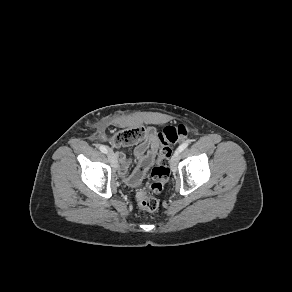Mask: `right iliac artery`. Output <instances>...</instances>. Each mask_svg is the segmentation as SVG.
I'll return each mask as SVG.
<instances>
[{"instance_id":"1","label":"right iliac artery","mask_w":292,"mask_h":292,"mask_svg":"<svg viewBox=\"0 0 292 292\" xmlns=\"http://www.w3.org/2000/svg\"><path fill=\"white\" fill-rule=\"evenodd\" d=\"M99 149H100L101 152H103V153H105V154L108 153V150H107V148H106L104 145H100V146H99Z\"/></svg>"}]
</instances>
